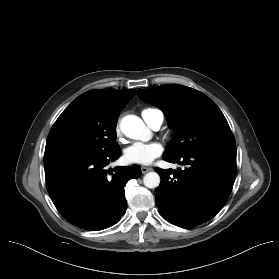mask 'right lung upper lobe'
Returning a JSON list of instances; mask_svg holds the SVG:
<instances>
[{
    "label": "right lung upper lobe",
    "instance_id": "right-lung-upper-lobe-1",
    "mask_svg": "<svg viewBox=\"0 0 279 279\" xmlns=\"http://www.w3.org/2000/svg\"><path fill=\"white\" fill-rule=\"evenodd\" d=\"M134 93L135 91L132 89L122 91L91 90L80 97L98 112L119 115Z\"/></svg>",
    "mask_w": 279,
    "mask_h": 279
}]
</instances>
